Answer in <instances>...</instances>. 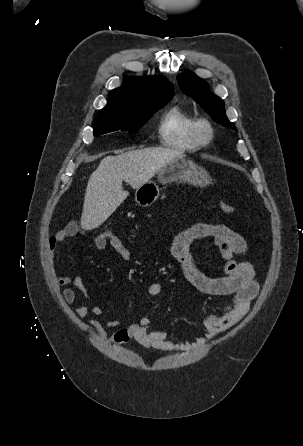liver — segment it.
I'll return each instance as SVG.
<instances>
[{"label":"liver","instance_id":"obj_1","mask_svg":"<svg viewBox=\"0 0 303 446\" xmlns=\"http://www.w3.org/2000/svg\"><path fill=\"white\" fill-rule=\"evenodd\" d=\"M182 152L166 148H146L103 158L91 174L85 193L81 227L92 230L101 225L127 198L122 181L137 189Z\"/></svg>","mask_w":303,"mask_h":446}]
</instances>
